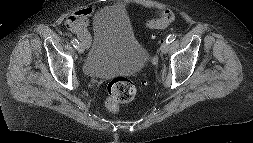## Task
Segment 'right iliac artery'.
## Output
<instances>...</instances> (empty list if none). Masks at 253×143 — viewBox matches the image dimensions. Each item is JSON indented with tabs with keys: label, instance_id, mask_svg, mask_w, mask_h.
<instances>
[{
	"label": "right iliac artery",
	"instance_id": "right-iliac-artery-1",
	"mask_svg": "<svg viewBox=\"0 0 253 143\" xmlns=\"http://www.w3.org/2000/svg\"><path fill=\"white\" fill-rule=\"evenodd\" d=\"M71 43H72V45H73L75 48H76V47L78 46V44H79L78 40L75 39V38H73V39L71 40Z\"/></svg>",
	"mask_w": 253,
	"mask_h": 143
}]
</instances>
